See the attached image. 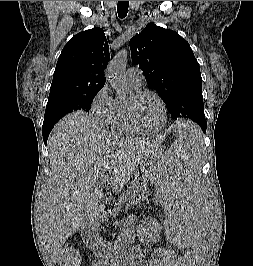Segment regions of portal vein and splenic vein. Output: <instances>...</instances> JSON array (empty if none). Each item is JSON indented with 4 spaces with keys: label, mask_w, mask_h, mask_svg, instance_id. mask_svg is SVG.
<instances>
[{
    "label": "portal vein and splenic vein",
    "mask_w": 253,
    "mask_h": 266,
    "mask_svg": "<svg viewBox=\"0 0 253 266\" xmlns=\"http://www.w3.org/2000/svg\"><path fill=\"white\" fill-rule=\"evenodd\" d=\"M106 179H107V178L105 177V178H103L102 180L105 181Z\"/></svg>",
    "instance_id": "1"
}]
</instances>
